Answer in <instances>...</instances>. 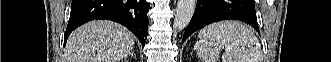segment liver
<instances>
[{"mask_svg":"<svg viewBox=\"0 0 331 62\" xmlns=\"http://www.w3.org/2000/svg\"><path fill=\"white\" fill-rule=\"evenodd\" d=\"M135 36L108 20L91 21L68 38L64 62H119L134 46Z\"/></svg>","mask_w":331,"mask_h":62,"instance_id":"1","label":"liver"}]
</instances>
